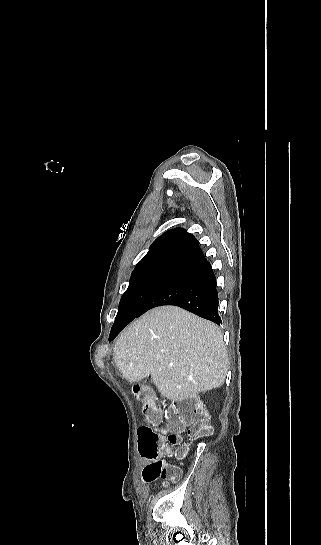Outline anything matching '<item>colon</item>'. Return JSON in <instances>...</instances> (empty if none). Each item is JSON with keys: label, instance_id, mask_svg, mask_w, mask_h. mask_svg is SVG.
<instances>
[{"label": "colon", "instance_id": "colon-1", "mask_svg": "<svg viewBox=\"0 0 321 545\" xmlns=\"http://www.w3.org/2000/svg\"><path fill=\"white\" fill-rule=\"evenodd\" d=\"M133 393L142 404L146 424L139 427L138 437L140 452L150 460H156L159 454L160 436L154 431L153 425L162 419V411L157 407L154 392L147 386L136 384ZM170 418L171 433L168 436L169 443L175 447L173 455L182 458L186 455L187 446L179 433L189 427L188 434L192 438H199L212 433V426L207 416L195 402L183 400L177 402L168 412ZM161 478L164 483L177 480L178 472L172 465L161 462L152 475V480Z\"/></svg>", "mask_w": 321, "mask_h": 545}]
</instances>
